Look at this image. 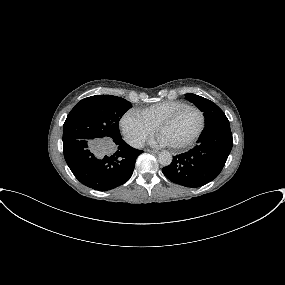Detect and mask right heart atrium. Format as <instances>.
<instances>
[{
	"label": "right heart atrium",
	"mask_w": 285,
	"mask_h": 285,
	"mask_svg": "<svg viewBox=\"0 0 285 285\" xmlns=\"http://www.w3.org/2000/svg\"><path fill=\"white\" fill-rule=\"evenodd\" d=\"M120 126L128 143L136 147L141 146L155 132V127L134 110H129L122 116Z\"/></svg>",
	"instance_id": "obj_1"
}]
</instances>
